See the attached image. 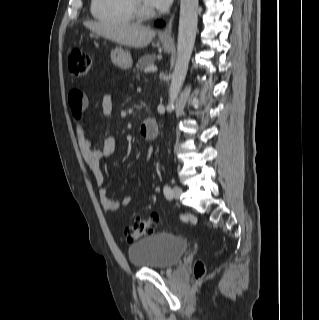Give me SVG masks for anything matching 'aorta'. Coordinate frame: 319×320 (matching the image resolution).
I'll list each match as a JSON object with an SVG mask.
<instances>
[{
    "mask_svg": "<svg viewBox=\"0 0 319 320\" xmlns=\"http://www.w3.org/2000/svg\"><path fill=\"white\" fill-rule=\"evenodd\" d=\"M199 0H181L177 41V58L169 88L167 110L171 111L185 80L194 48Z\"/></svg>",
    "mask_w": 319,
    "mask_h": 320,
    "instance_id": "1",
    "label": "aorta"
}]
</instances>
